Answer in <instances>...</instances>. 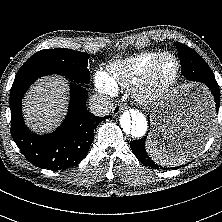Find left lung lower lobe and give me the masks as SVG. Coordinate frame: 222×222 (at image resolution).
<instances>
[{
	"mask_svg": "<svg viewBox=\"0 0 222 222\" xmlns=\"http://www.w3.org/2000/svg\"><path fill=\"white\" fill-rule=\"evenodd\" d=\"M180 62L182 66V74L190 81L206 85L215 100V109L212 110L211 113L181 128L175 137L170 140L169 147L172 148L174 152H190L196 149L210 133L214 111L218 113L220 106V90L215 78H213L214 74H210L198 63V61L187 56L180 58ZM148 122H150L149 117ZM147 135L148 134L139 140L131 141L130 147L141 163L149 167L158 168L159 166H157L146 153L145 142Z\"/></svg>",
	"mask_w": 222,
	"mask_h": 222,
	"instance_id": "1",
	"label": "left lung lower lobe"
}]
</instances>
